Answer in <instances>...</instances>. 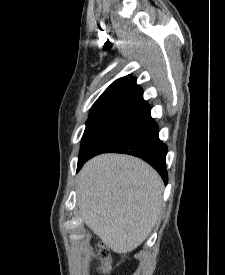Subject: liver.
Wrapping results in <instances>:
<instances>
[{
  "instance_id": "1",
  "label": "liver",
  "mask_w": 225,
  "mask_h": 275,
  "mask_svg": "<svg viewBox=\"0 0 225 275\" xmlns=\"http://www.w3.org/2000/svg\"><path fill=\"white\" fill-rule=\"evenodd\" d=\"M164 184L143 160L102 154L89 160L77 179L83 222L117 253L140 246L158 223Z\"/></svg>"
}]
</instances>
